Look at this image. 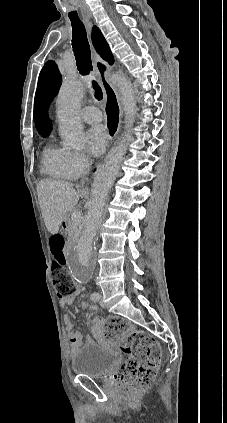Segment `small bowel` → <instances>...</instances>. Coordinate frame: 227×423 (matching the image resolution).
Here are the masks:
<instances>
[{
	"mask_svg": "<svg viewBox=\"0 0 227 423\" xmlns=\"http://www.w3.org/2000/svg\"><path fill=\"white\" fill-rule=\"evenodd\" d=\"M64 253L66 255L65 250H64ZM75 295L76 294H73V295L68 296V297H62L60 299V305L62 307L69 305L74 300ZM81 307L83 309L88 310V311H95L96 310V307L90 306L87 301L81 302ZM63 321H64L65 328L68 332V339H69L70 345L73 349H76L81 344V334L78 331H73V329H72L73 324H72V319H71L70 315H65L63 317ZM92 333H93V336L97 340L102 341V342L104 341V339H105L104 332H103L101 327L95 326L92 329Z\"/></svg>",
	"mask_w": 227,
	"mask_h": 423,
	"instance_id": "c3829d8e",
	"label": "small bowel"
}]
</instances>
